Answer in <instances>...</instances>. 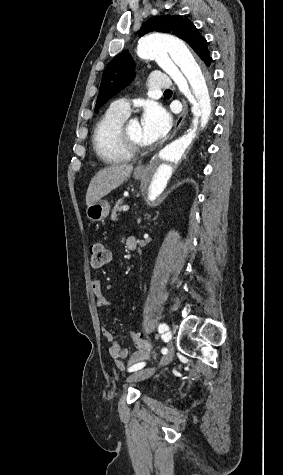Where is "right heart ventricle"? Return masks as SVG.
Listing matches in <instances>:
<instances>
[{
  "label": "right heart ventricle",
  "instance_id": "1",
  "mask_svg": "<svg viewBox=\"0 0 283 475\" xmlns=\"http://www.w3.org/2000/svg\"><path fill=\"white\" fill-rule=\"evenodd\" d=\"M128 114L129 110H124L111 104L99 117L92 136L93 146L98 154L104 145H113L119 128L125 123ZM103 160L105 162H118L114 160Z\"/></svg>",
  "mask_w": 283,
  "mask_h": 475
}]
</instances>
